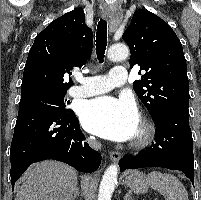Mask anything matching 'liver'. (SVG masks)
Segmentation results:
<instances>
[{
	"instance_id": "liver-1",
	"label": "liver",
	"mask_w": 201,
	"mask_h": 200,
	"mask_svg": "<svg viewBox=\"0 0 201 200\" xmlns=\"http://www.w3.org/2000/svg\"><path fill=\"white\" fill-rule=\"evenodd\" d=\"M76 171L58 161H42L29 168L15 200H72Z\"/></svg>"
}]
</instances>
